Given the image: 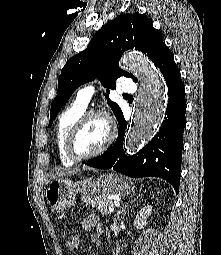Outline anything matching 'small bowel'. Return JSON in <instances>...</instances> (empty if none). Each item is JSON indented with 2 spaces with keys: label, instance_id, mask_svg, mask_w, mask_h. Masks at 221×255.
Segmentation results:
<instances>
[{
  "label": "small bowel",
  "instance_id": "obj_1",
  "mask_svg": "<svg viewBox=\"0 0 221 255\" xmlns=\"http://www.w3.org/2000/svg\"><path fill=\"white\" fill-rule=\"evenodd\" d=\"M84 228L92 230L91 239L96 242L101 237L100 222L95 217H89L83 223ZM80 238L78 235H72L68 240V247L70 250H75L79 245Z\"/></svg>",
  "mask_w": 221,
  "mask_h": 255
}]
</instances>
